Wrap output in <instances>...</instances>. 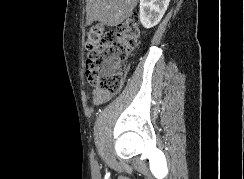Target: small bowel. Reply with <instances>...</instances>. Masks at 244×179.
Here are the masks:
<instances>
[{
    "instance_id": "c3829d8e",
    "label": "small bowel",
    "mask_w": 244,
    "mask_h": 179,
    "mask_svg": "<svg viewBox=\"0 0 244 179\" xmlns=\"http://www.w3.org/2000/svg\"><path fill=\"white\" fill-rule=\"evenodd\" d=\"M112 97V94L95 88L92 91V102L94 105L99 106L108 102Z\"/></svg>"
}]
</instances>
